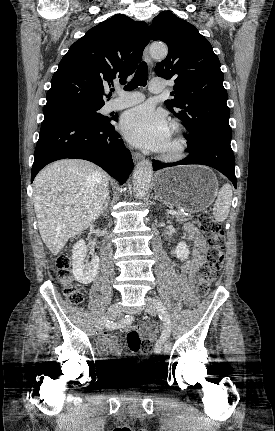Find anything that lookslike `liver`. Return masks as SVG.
Segmentation results:
<instances>
[{"label": "liver", "mask_w": 275, "mask_h": 431, "mask_svg": "<svg viewBox=\"0 0 275 431\" xmlns=\"http://www.w3.org/2000/svg\"><path fill=\"white\" fill-rule=\"evenodd\" d=\"M108 185L104 171L80 159L56 161L38 173L34 209L41 238L53 255L99 217L109 195Z\"/></svg>", "instance_id": "6515ba94"}]
</instances>
